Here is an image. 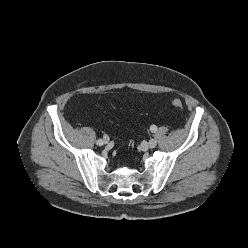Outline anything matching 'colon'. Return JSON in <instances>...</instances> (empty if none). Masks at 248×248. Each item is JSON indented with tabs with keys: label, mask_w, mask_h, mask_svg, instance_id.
<instances>
[{
	"label": "colon",
	"mask_w": 248,
	"mask_h": 248,
	"mask_svg": "<svg viewBox=\"0 0 248 248\" xmlns=\"http://www.w3.org/2000/svg\"><path fill=\"white\" fill-rule=\"evenodd\" d=\"M172 105L175 107V108H178V109H182L183 108V103L180 99L178 98H174L172 101H171Z\"/></svg>",
	"instance_id": "1"
}]
</instances>
